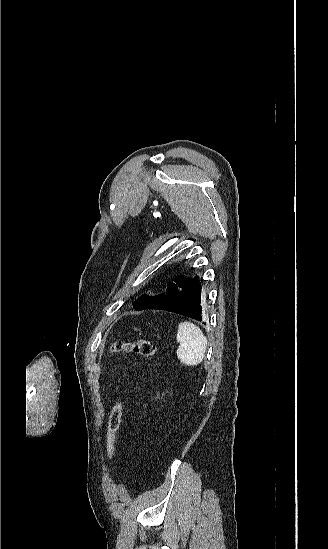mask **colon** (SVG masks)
Masks as SVG:
<instances>
[{"mask_svg":"<svg viewBox=\"0 0 328 549\" xmlns=\"http://www.w3.org/2000/svg\"><path fill=\"white\" fill-rule=\"evenodd\" d=\"M111 350L113 352H134L146 358H153L158 353L157 346L149 340L138 339L130 342H116L112 345ZM123 401L115 403L111 410L107 428V455L110 460L115 457L116 451V435L120 427L122 414H123Z\"/></svg>","mask_w":328,"mask_h":549,"instance_id":"1","label":"colon"}]
</instances>
